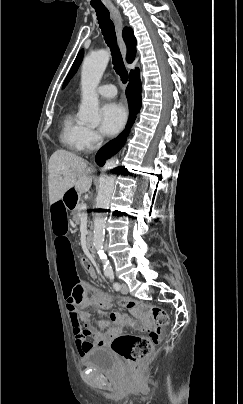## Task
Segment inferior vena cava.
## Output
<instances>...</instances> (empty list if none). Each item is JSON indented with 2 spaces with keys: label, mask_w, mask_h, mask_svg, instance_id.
<instances>
[{
  "label": "inferior vena cava",
  "mask_w": 243,
  "mask_h": 404,
  "mask_svg": "<svg viewBox=\"0 0 243 404\" xmlns=\"http://www.w3.org/2000/svg\"><path fill=\"white\" fill-rule=\"evenodd\" d=\"M101 144H102V140H100V142H99V144H98V148H99V146H101Z\"/></svg>",
  "instance_id": "obj_1"
}]
</instances>
